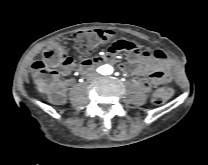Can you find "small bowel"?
Returning <instances> with one entry per match:
<instances>
[{"label": "small bowel", "mask_w": 208, "mask_h": 165, "mask_svg": "<svg viewBox=\"0 0 208 165\" xmlns=\"http://www.w3.org/2000/svg\"><path fill=\"white\" fill-rule=\"evenodd\" d=\"M107 38L102 42H107L116 36L112 30H105ZM127 53L128 62L119 64V69L124 73H130L138 77L140 83L148 90L151 86L167 83L172 78V64L167 55L161 51L141 50L139 46L130 40L118 39L107 49L104 55L79 57L77 62L83 67H92L101 64L103 61H114L115 57L121 53ZM73 66V65H72ZM71 67L61 69L62 76H68ZM57 104L63 99L55 100Z\"/></svg>", "instance_id": "small-bowel-1"}]
</instances>
